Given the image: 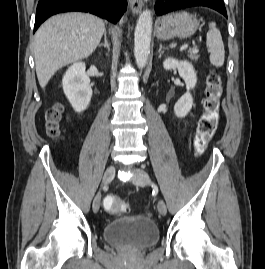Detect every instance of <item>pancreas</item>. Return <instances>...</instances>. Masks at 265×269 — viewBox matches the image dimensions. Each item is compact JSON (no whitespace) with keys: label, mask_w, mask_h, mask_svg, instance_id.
I'll list each match as a JSON object with an SVG mask.
<instances>
[{"label":"pancreas","mask_w":265,"mask_h":269,"mask_svg":"<svg viewBox=\"0 0 265 269\" xmlns=\"http://www.w3.org/2000/svg\"><path fill=\"white\" fill-rule=\"evenodd\" d=\"M188 57L195 62L199 59V55H197L196 53H190L188 54Z\"/></svg>","instance_id":"1"}]
</instances>
